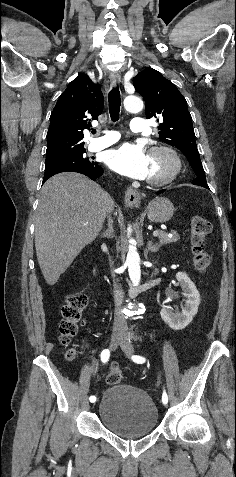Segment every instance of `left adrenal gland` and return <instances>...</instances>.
Listing matches in <instances>:
<instances>
[{
  "label": "left adrenal gland",
  "instance_id": "left-adrenal-gland-1",
  "mask_svg": "<svg viewBox=\"0 0 236 477\" xmlns=\"http://www.w3.org/2000/svg\"><path fill=\"white\" fill-rule=\"evenodd\" d=\"M160 247H161V244L154 245L152 241H148V244H147L148 251L157 252Z\"/></svg>",
  "mask_w": 236,
  "mask_h": 477
}]
</instances>
